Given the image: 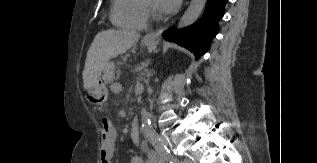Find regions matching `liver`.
<instances>
[{
    "mask_svg": "<svg viewBox=\"0 0 317 163\" xmlns=\"http://www.w3.org/2000/svg\"><path fill=\"white\" fill-rule=\"evenodd\" d=\"M139 37L140 34L127 30L108 29L99 32L87 52L83 71L84 89L94 87L109 60L125 53L138 42Z\"/></svg>",
    "mask_w": 317,
    "mask_h": 163,
    "instance_id": "1",
    "label": "liver"
}]
</instances>
